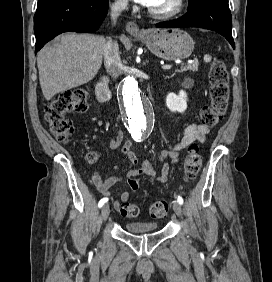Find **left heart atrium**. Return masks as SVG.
I'll return each mask as SVG.
<instances>
[{
    "instance_id": "obj_1",
    "label": "left heart atrium",
    "mask_w": 272,
    "mask_h": 282,
    "mask_svg": "<svg viewBox=\"0 0 272 282\" xmlns=\"http://www.w3.org/2000/svg\"><path fill=\"white\" fill-rule=\"evenodd\" d=\"M138 3L142 4L143 6L149 7L152 0H136Z\"/></svg>"
}]
</instances>
